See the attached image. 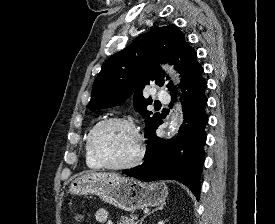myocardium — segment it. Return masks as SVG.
<instances>
[{"mask_svg": "<svg viewBox=\"0 0 275 224\" xmlns=\"http://www.w3.org/2000/svg\"><path fill=\"white\" fill-rule=\"evenodd\" d=\"M109 123H122V124L128 126L133 131V133L136 137L137 151H136L135 156L128 162H125L122 164L109 163L96 150V147H95L96 133L102 126L109 124ZM87 144H88L89 151H90L91 155L93 156V158L102 167L107 168V169H112V170H125V169H129V168H132V167L138 165L142 161V159L144 157V152H145L144 140H143V136H142L139 128L133 121H131L130 119L123 117V116H108V117H105V118L99 120L91 128V130L87 136Z\"/></svg>", "mask_w": 275, "mask_h": 224, "instance_id": "f54148a6", "label": "myocardium"}]
</instances>
